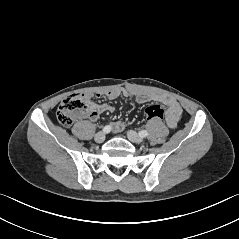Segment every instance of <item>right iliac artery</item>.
I'll use <instances>...</instances> for the list:
<instances>
[{
    "label": "right iliac artery",
    "instance_id": "obj_1",
    "mask_svg": "<svg viewBox=\"0 0 239 239\" xmlns=\"http://www.w3.org/2000/svg\"><path fill=\"white\" fill-rule=\"evenodd\" d=\"M110 131H111V126L110 125H107L103 128L104 133H109Z\"/></svg>",
    "mask_w": 239,
    "mask_h": 239
}]
</instances>
